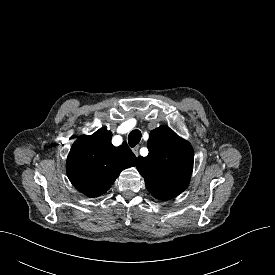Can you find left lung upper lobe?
<instances>
[{"label": "left lung upper lobe", "mask_w": 275, "mask_h": 275, "mask_svg": "<svg viewBox=\"0 0 275 275\" xmlns=\"http://www.w3.org/2000/svg\"><path fill=\"white\" fill-rule=\"evenodd\" d=\"M149 154L138 157L137 169L153 197L169 200L189 185L194 153L191 145L167 126L150 132Z\"/></svg>", "instance_id": "left-lung-upper-lobe-1"}]
</instances>
